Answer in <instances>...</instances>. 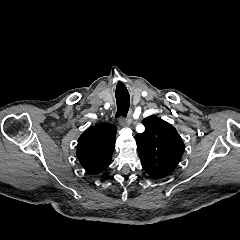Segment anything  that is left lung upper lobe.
I'll return each mask as SVG.
<instances>
[{"label": "left lung upper lobe", "instance_id": "1", "mask_svg": "<svg viewBox=\"0 0 240 240\" xmlns=\"http://www.w3.org/2000/svg\"><path fill=\"white\" fill-rule=\"evenodd\" d=\"M142 123L145 131L135 136L142 167L150 176L165 177L180 162L184 143L176 129L161 118L149 116Z\"/></svg>", "mask_w": 240, "mask_h": 240}]
</instances>
